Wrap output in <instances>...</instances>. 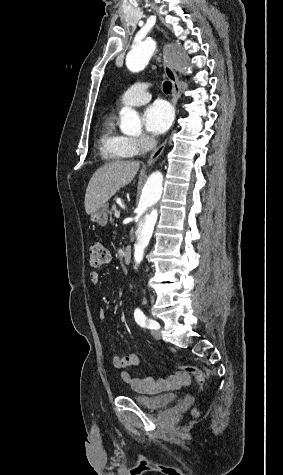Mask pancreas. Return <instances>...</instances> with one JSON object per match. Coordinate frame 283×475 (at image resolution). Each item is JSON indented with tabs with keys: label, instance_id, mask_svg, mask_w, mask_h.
I'll list each match as a JSON object with an SVG mask.
<instances>
[{
	"label": "pancreas",
	"instance_id": "obj_1",
	"mask_svg": "<svg viewBox=\"0 0 283 475\" xmlns=\"http://www.w3.org/2000/svg\"><path fill=\"white\" fill-rule=\"evenodd\" d=\"M112 212H117L116 206H112ZM111 220H112V218H111Z\"/></svg>",
	"mask_w": 283,
	"mask_h": 475
}]
</instances>
